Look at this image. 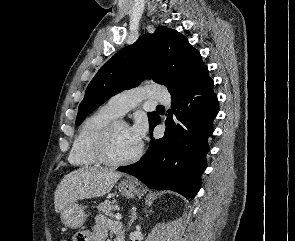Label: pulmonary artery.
<instances>
[{
    "label": "pulmonary artery",
    "instance_id": "obj_1",
    "mask_svg": "<svg viewBox=\"0 0 295 241\" xmlns=\"http://www.w3.org/2000/svg\"><path fill=\"white\" fill-rule=\"evenodd\" d=\"M146 98L164 104L170 103V94L162 85L149 84L144 87L125 90L111 97L105 106L116 115L122 116Z\"/></svg>",
    "mask_w": 295,
    "mask_h": 241
}]
</instances>
